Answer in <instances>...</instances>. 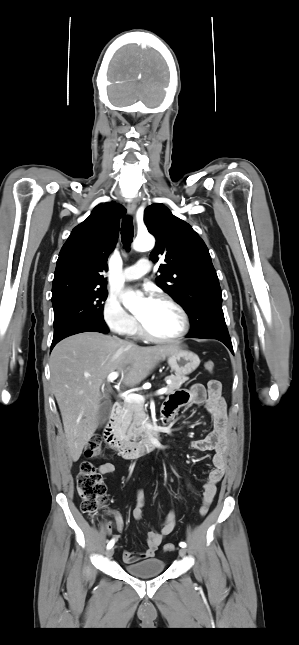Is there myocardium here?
<instances>
[{"label":"myocardium","mask_w":299,"mask_h":645,"mask_svg":"<svg viewBox=\"0 0 299 645\" xmlns=\"http://www.w3.org/2000/svg\"><path fill=\"white\" fill-rule=\"evenodd\" d=\"M156 300L169 304L178 312L181 318V328L175 335L168 336V337H158L151 334L138 318V330L141 336L155 343H170V342L181 340L183 337L187 335L190 329V320L186 310L182 307L181 304H179L176 300H174L172 297L168 295H164V294L159 295L156 298Z\"/></svg>","instance_id":"f54148a6"}]
</instances>
